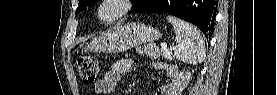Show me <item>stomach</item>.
I'll list each match as a JSON object with an SVG mask.
<instances>
[{
	"mask_svg": "<svg viewBox=\"0 0 277 95\" xmlns=\"http://www.w3.org/2000/svg\"><path fill=\"white\" fill-rule=\"evenodd\" d=\"M160 37L159 30L130 22L95 38L85 47V50L105 53L124 52L143 43H153Z\"/></svg>",
	"mask_w": 277,
	"mask_h": 95,
	"instance_id": "0dacf381",
	"label": "stomach"
}]
</instances>
